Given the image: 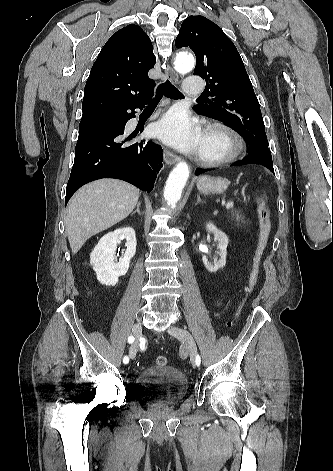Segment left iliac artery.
Segmentation results:
<instances>
[{
  "mask_svg": "<svg viewBox=\"0 0 333 471\" xmlns=\"http://www.w3.org/2000/svg\"><path fill=\"white\" fill-rule=\"evenodd\" d=\"M200 363H201L200 356H199V355H197V357H196V365H197V366H199V365H200Z\"/></svg>",
  "mask_w": 333,
  "mask_h": 471,
  "instance_id": "44dca946",
  "label": "left iliac artery"
}]
</instances>
